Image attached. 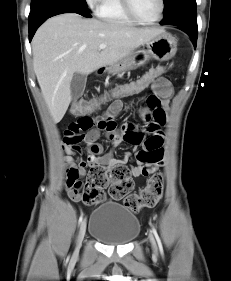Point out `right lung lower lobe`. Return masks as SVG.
I'll list each match as a JSON object with an SVG mask.
<instances>
[{
  "label": "right lung lower lobe",
  "instance_id": "1",
  "mask_svg": "<svg viewBox=\"0 0 231 281\" xmlns=\"http://www.w3.org/2000/svg\"><path fill=\"white\" fill-rule=\"evenodd\" d=\"M74 12L85 17H91L86 5L80 0H35L31 3L29 14V40L33 38L37 28L48 18Z\"/></svg>",
  "mask_w": 231,
  "mask_h": 281
}]
</instances>
